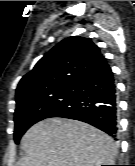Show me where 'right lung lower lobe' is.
Listing matches in <instances>:
<instances>
[{"instance_id": "obj_1", "label": "right lung lower lobe", "mask_w": 135, "mask_h": 166, "mask_svg": "<svg viewBox=\"0 0 135 166\" xmlns=\"http://www.w3.org/2000/svg\"><path fill=\"white\" fill-rule=\"evenodd\" d=\"M71 103L51 117L89 123L116 138L118 132L117 90L113 72L106 62L74 84Z\"/></svg>"}]
</instances>
